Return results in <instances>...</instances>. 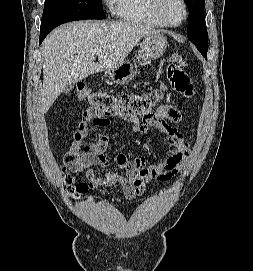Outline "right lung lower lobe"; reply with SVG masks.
Listing matches in <instances>:
<instances>
[{
    "label": "right lung lower lobe",
    "instance_id": "right-lung-lower-lobe-1",
    "mask_svg": "<svg viewBox=\"0 0 253 271\" xmlns=\"http://www.w3.org/2000/svg\"><path fill=\"white\" fill-rule=\"evenodd\" d=\"M47 32L45 33H40V43L44 40V38L47 36Z\"/></svg>",
    "mask_w": 253,
    "mask_h": 271
}]
</instances>
